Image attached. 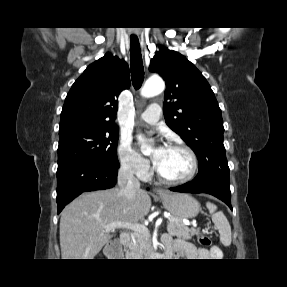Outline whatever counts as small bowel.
<instances>
[{
  "instance_id": "small-bowel-1",
  "label": "small bowel",
  "mask_w": 287,
  "mask_h": 287,
  "mask_svg": "<svg viewBox=\"0 0 287 287\" xmlns=\"http://www.w3.org/2000/svg\"><path fill=\"white\" fill-rule=\"evenodd\" d=\"M162 241L171 257L174 256L187 260H196L206 259L210 256L216 257L220 255V249L217 247H214L209 251L204 248L195 247L183 239L172 240L168 235L163 236Z\"/></svg>"
}]
</instances>
